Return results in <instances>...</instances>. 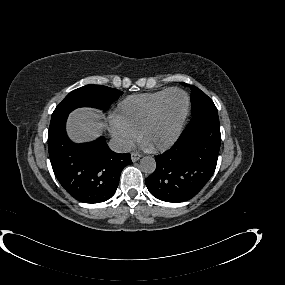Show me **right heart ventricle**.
<instances>
[{
  "label": "right heart ventricle",
  "instance_id": "right-heart-ventricle-1",
  "mask_svg": "<svg viewBox=\"0 0 285 285\" xmlns=\"http://www.w3.org/2000/svg\"><path fill=\"white\" fill-rule=\"evenodd\" d=\"M168 89L153 93L132 95L122 100L116 111V119L135 134L150 116L154 106Z\"/></svg>",
  "mask_w": 285,
  "mask_h": 285
}]
</instances>
